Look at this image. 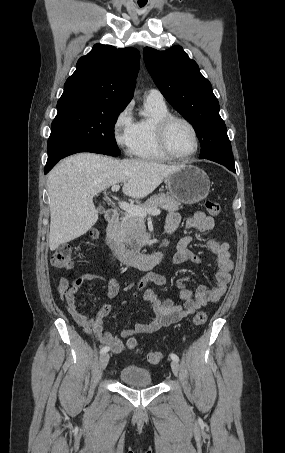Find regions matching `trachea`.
<instances>
[{
    "mask_svg": "<svg viewBox=\"0 0 285 453\" xmlns=\"http://www.w3.org/2000/svg\"><path fill=\"white\" fill-rule=\"evenodd\" d=\"M144 1H146V2H144ZM146 3H147V0H138V4H139L140 7L145 6Z\"/></svg>",
    "mask_w": 285,
    "mask_h": 453,
    "instance_id": "obj_1",
    "label": "trachea"
}]
</instances>
